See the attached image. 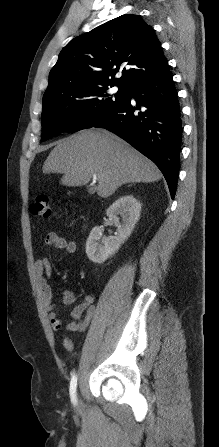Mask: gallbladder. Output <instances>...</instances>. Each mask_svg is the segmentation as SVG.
<instances>
[{"instance_id": "1", "label": "gallbladder", "mask_w": 219, "mask_h": 447, "mask_svg": "<svg viewBox=\"0 0 219 447\" xmlns=\"http://www.w3.org/2000/svg\"><path fill=\"white\" fill-rule=\"evenodd\" d=\"M88 191H89V193H94L95 192L94 188H90Z\"/></svg>"}]
</instances>
